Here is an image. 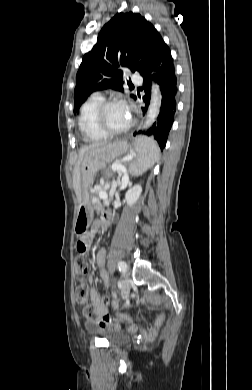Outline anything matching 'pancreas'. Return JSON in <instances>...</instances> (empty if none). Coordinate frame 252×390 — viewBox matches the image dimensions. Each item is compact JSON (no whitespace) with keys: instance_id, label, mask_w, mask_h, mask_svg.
<instances>
[{"instance_id":"cf45deb5","label":"pancreas","mask_w":252,"mask_h":390,"mask_svg":"<svg viewBox=\"0 0 252 390\" xmlns=\"http://www.w3.org/2000/svg\"><path fill=\"white\" fill-rule=\"evenodd\" d=\"M91 201L95 205V209L97 211V213H95V216L101 217L104 214L103 205L101 204V202H95L93 200V197H91ZM104 206H105V204H104Z\"/></svg>"}]
</instances>
